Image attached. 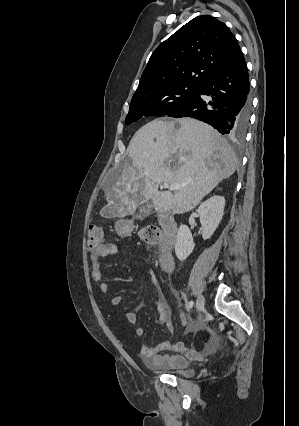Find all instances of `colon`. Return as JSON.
Listing matches in <instances>:
<instances>
[{"instance_id":"obj_1","label":"colon","mask_w":299,"mask_h":426,"mask_svg":"<svg viewBox=\"0 0 299 426\" xmlns=\"http://www.w3.org/2000/svg\"><path fill=\"white\" fill-rule=\"evenodd\" d=\"M141 239L149 244L155 245L161 242L162 234L155 225L144 227L140 232ZM107 243L104 230L97 225H90L87 232V245L90 251L103 246Z\"/></svg>"}]
</instances>
